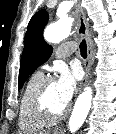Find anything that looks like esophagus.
Listing matches in <instances>:
<instances>
[{
    "label": "esophagus",
    "instance_id": "34e87169",
    "mask_svg": "<svg viewBox=\"0 0 116 134\" xmlns=\"http://www.w3.org/2000/svg\"><path fill=\"white\" fill-rule=\"evenodd\" d=\"M75 15L78 21V34L84 37L87 42V58L84 60L85 75L83 79V82L85 83L90 71V65L93 56V44L91 40V33L86 22L85 13L80 3H77L75 7Z\"/></svg>",
    "mask_w": 116,
    "mask_h": 134
}]
</instances>
